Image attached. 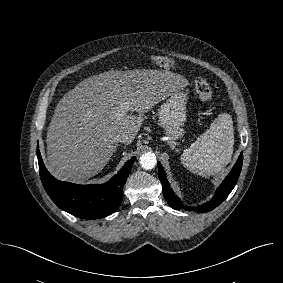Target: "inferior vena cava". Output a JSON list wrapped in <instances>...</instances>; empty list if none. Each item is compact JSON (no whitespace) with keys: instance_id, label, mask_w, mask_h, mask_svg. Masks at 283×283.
Here are the masks:
<instances>
[{"instance_id":"obj_1","label":"inferior vena cava","mask_w":283,"mask_h":283,"mask_svg":"<svg viewBox=\"0 0 283 283\" xmlns=\"http://www.w3.org/2000/svg\"><path fill=\"white\" fill-rule=\"evenodd\" d=\"M114 141L116 143H127L128 142V138L125 135H117L114 139Z\"/></svg>"}]
</instances>
